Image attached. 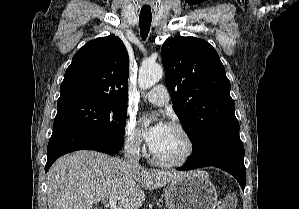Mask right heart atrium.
Returning <instances> with one entry per match:
<instances>
[{"label":"right heart atrium","instance_id":"right-heart-atrium-1","mask_svg":"<svg viewBox=\"0 0 299 209\" xmlns=\"http://www.w3.org/2000/svg\"><path fill=\"white\" fill-rule=\"evenodd\" d=\"M124 137L125 145L130 151L133 153L141 152L143 148L141 134L132 118H129L126 121Z\"/></svg>","mask_w":299,"mask_h":209}]
</instances>
